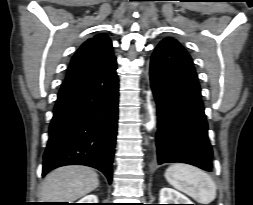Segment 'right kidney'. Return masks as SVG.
Here are the masks:
<instances>
[{
	"mask_svg": "<svg viewBox=\"0 0 253 205\" xmlns=\"http://www.w3.org/2000/svg\"><path fill=\"white\" fill-rule=\"evenodd\" d=\"M77 203H98V198L96 195L90 194L80 199Z\"/></svg>",
	"mask_w": 253,
	"mask_h": 205,
	"instance_id": "right-kidney-1",
	"label": "right kidney"
}]
</instances>
